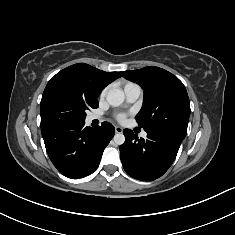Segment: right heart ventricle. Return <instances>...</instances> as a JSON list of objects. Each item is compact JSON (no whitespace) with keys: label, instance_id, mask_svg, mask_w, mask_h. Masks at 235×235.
Here are the masks:
<instances>
[{"label":"right heart ventricle","instance_id":"1","mask_svg":"<svg viewBox=\"0 0 235 235\" xmlns=\"http://www.w3.org/2000/svg\"><path fill=\"white\" fill-rule=\"evenodd\" d=\"M128 84H134V83H127L126 85H128ZM126 85H125V86H126Z\"/></svg>","mask_w":235,"mask_h":235}]
</instances>
